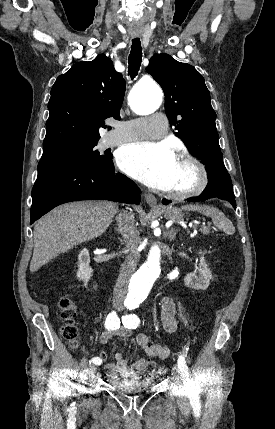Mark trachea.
I'll return each instance as SVG.
<instances>
[{
  "label": "trachea",
  "instance_id": "3493384b",
  "mask_svg": "<svg viewBox=\"0 0 275 429\" xmlns=\"http://www.w3.org/2000/svg\"><path fill=\"white\" fill-rule=\"evenodd\" d=\"M142 62V47L141 42L139 38H135L132 40V46L130 55L128 58V74L130 75L131 79L135 78V76L138 74L139 68L141 66Z\"/></svg>",
  "mask_w": 275,
  "mask_h": 429
}]
</instances>
